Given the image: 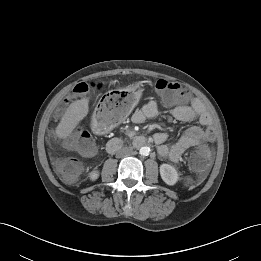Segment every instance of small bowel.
Returning a JSON list of instances; mask_svg holds the SVG:
<instances>
[{
  "label": "small bowel",
  "mask_w": 261,
  "mask_h": 261,
  "mask_svg": "<svg viewBox=\"0 0 261 261\" xmlns=\"http://www.w3.org/2000/svg\"><path fill=\"white\" fill-rule=\"evenodd\" d=\"M171 115L179 121L190 122L199 118L204 126L193 125L188 127L177 142L167 145V134L159 132L154 135V141L158 145V153L172 162H178L184 152L204 142H212L215 131L210 125V119L205 114L204 106L198 99H194L190 105L177 106L171 109ZM160 114V108L156 101L147 102L140 110L132 116L135 123H143Z\"/></svg>",
  "instance_id": "obj_1"
}]
</instances>
